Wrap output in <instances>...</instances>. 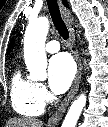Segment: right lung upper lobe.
<instances>
[{"label": "right lung upper lobe", "mask_w": 108, "mask_h": 127, "mask_svg": "<svg viewBox=\"0 0 108 127\" xmlns=\"http://www.w3.org/2000/svg\"><path fill=\"white\" fill-rule=\"evenodd\" d=\"M63 3H64L65 6L68 7V4H67L66 0H63ZM12 43H13V41H11V43H10V45H9V48L12 46ZM8 51H9V50H8Z\"/></svg>", "instance_id": "cb5924a9"}]
</instances>
